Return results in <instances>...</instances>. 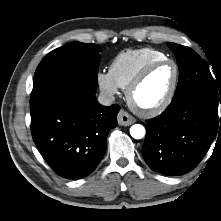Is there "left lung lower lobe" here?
I'll use <instances>...</instances> for the list:
<instances>
[{
	"instance_id": "left-lung-lower-lobe-1",
	"label": "left lung lower lobe",
	"mask_w": 221,
	"mask_h": 221,
	"mask_svg": "<svg viewBox=\"0 0 221 221\" xmlns=\"http://www.w3.org/2000/svg\"><path fill=\"white\" fill-rule=\"evenodd\" d=\"M217 105L203 95L187 94L147 120L142 154L148 166L167 176L193 170L221 131Z\"/></svg>"
}]
</instances>
